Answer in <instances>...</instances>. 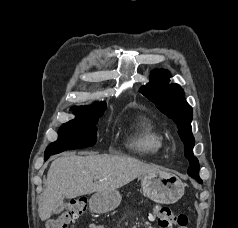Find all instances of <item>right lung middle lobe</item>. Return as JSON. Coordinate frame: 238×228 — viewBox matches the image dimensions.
Here are the masks:
<instances>
[{
	"instance_id": "1",
	"label": "right lung middle lobe",
	"mask_w": 238,
	"mask_h": 228,
	"mask_svg": "<svg viewBox=\"0 0 238 228\" xmlns=\"http://www.w3.org/2000/svg\"><path fill=\"white\" fill-rule=\"evenodd\" d=\"M106 110L105 104L96 106L90 113L76 114V118L64 123L58 131V140L51 143L45 154H57L65 150L93 146L97 140L95 125Z\"/></svg>"
}]
</instances>
